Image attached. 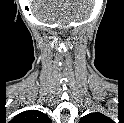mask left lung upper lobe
<instances>
[{
	"mask_svg": "<svg viewBox=\"0 0 124 123\" xmlns=\"http://www.w3.org/2000/svg\"><path fill=\"white\" fill-rule=\"evenodd\" d=\"M106 119L107 117L101 113H90L83 116L79 123H103Z\"/></svg>",
	"mask_w": 124,
	"mask_h": 123,
	"instance_id": "obj_1",
	"label": "left lung upper lobe"
}]
</instances>
